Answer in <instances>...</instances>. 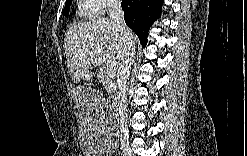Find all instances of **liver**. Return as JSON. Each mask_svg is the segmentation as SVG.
I'll return each instance as SVG.
<instances>
[{
	"label": "liver",
	"mask_w": 247,
	"mask_h": 156,
	"mask_svg": "<svg viewBox=\"0 0 247 156\" xmlns=\"http://www.w3.org/2000/svg\"><path fill=\"white\" fill-rule=\"evenodd\" d=\"M134 43L137 37L131 31ZM67 67L74 83H79L92 67L104 62L119 66L123 53L120 31L111 19L101 17L70 26L64 38Z\"/></svg>",
	"instance_id": "1"
}]
</instances>
